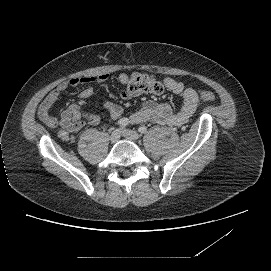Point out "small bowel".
<instances>
[{"instance_id": "small-bowel-1", "label": "small bowel", "mask_w": 271, "mask_h": 271, "mask_svg": "<svg viewBox=\"0 0 271 271\" xmlns=\"http://www.w3.org/2000/svg\"><path fill=\"white\" fill-rule=\"evenodd\" d=\"M108 79V75L102 74L93 77H75L61 82L42 101L38 111L40 119L49 127L59 126L62 129L59 133V138L62 141H73L75 133L86 125L99 124L100 117L96 114L87 113L79 104L72 103L60 113L57 119L51 114V107L59 100L62 93L70 87L88 84L79 93L80 98L86 99L94 93V88L90 84H102ZM119 80L122 84L127 85L129 77L126 74H121ZM164 85L172 93L181 96V107L175 111L170 104H160L149 100L137 112L132 114L130 117L132 123L151 122L160 125L180 126L193 116L199 104L197 92L194 89L186 88L183 83L172 78H165ZM122 97L129 99L131 96L125 89L122 91ZM103 107L113 120L118 119L123 113L122 107L110 102H105Z\"/></svg>"}]
</instances>
